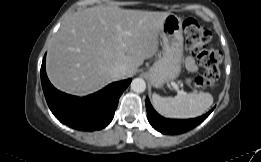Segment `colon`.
Returning <instances> with one entry per match:
<instances>
[{"label": "colon", "mask_w": 261, "mask_h": 162, "mask_svg": "<svg viewBox=\"0 0 261 162\" xmlns=\"http://www.w3.org/2000/svg\"><path fill=\"white\" fill-rule=\"evenodd\" d=\"M183 30L188 50L203 68V74L193 79L192 83L200 88L213 86L220 77L219 64L222 55L216 50L209 49L210 30L198 24L194 19H186Z\"/></svg>", "instance_id": "obj_1"}]
</instances>
